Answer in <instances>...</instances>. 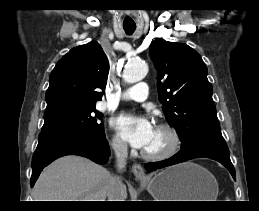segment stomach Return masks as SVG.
Returning a JSON list of instances; mask_svg holds the SVG:
<instances>
[{
  "instance_id": "1",
  "label": "stomach",
  "mask_w": 259,
  "mask_h": 211,
  "mask_svg": "<svg viewBox=\"0 0 259 211\" xmlns=\"http://www.w3.org/2000/svg\"><path fill=\"white\" fill-rule=\"evenodd\" d=\"M141 182L156 201H216L218 196L215 177L192 162L168 167Z\"/></svg>"
}]
</instances>
